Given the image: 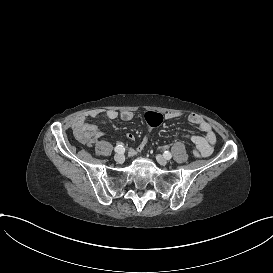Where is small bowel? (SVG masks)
<instances>
[{
  "mask_svg": "<svg viewBox=\"0 0 273 273\" xmlns=\"http://www.w3.org/2000/svg\"><path fill=\"white\" fill-rule=\"evenodd\" d=\"M87 113L88 114H85L81 118V121H76L74 123V131L77 133V139L79 141H88L92 144L94 150H101L103 148V141L100 138L104 135V132L97 125L95 126L93 124L94 118L104 117L108 120L120 119L125 122L134 119V113L130 110H123L120 112L112 109L92 110ZM178 116L179 115L176 113H167L165 119L173 120ZM188 120L200 129L202 135H185V137L193 143L201 156H210L216 144V134L212 125L198 114H190ZM126 137L130 141L135 140V135L133 133H127ZM134 153L139 154L137 146L134 149Z\"/></svg>",
  "mask_w": 273,
  "mask_h": 273,
  "instance_id": "small-bowel-1",
  "label": "small bowel"
}]
</instances>
